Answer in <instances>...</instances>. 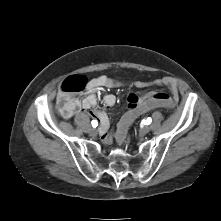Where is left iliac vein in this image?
<instances>
[{
	"label": "left iliac vein",
	"mask_w": 221,
	"mask_h": 221,
	"mask_svg": "<svg viewBox=\"0 0 221 221\" xmlns=\"http://www.w3.org/2000/svg\"><path fill=\"white\" fill-rule=\"evenodd\" d=\"M150 129H151L150 126L146 125L140 131L142 134H147L149 133Z\"/></svg>",
	"instance_id": "4c4485c4"
}]
</instances>
